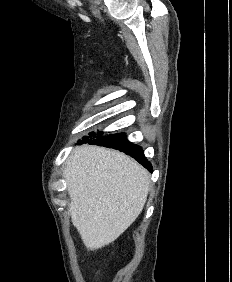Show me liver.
I'll return each mask as SVG.
<instances>
[{"label": "liver", "instance_id": "6515ba94", "mask_svg": "<svg viewBox=\"0 0 232 282\" xmlns=\"http://www.w3.org/2000/svg\"><path fill=\"white\" fill-rule=\"evenodd\" d=\"M69 212L88 250L114 242L140 215L149 173L129 156L83 145L69 156L63 173Z\"/></svg>", "mask_w": 232, "mask_h": 282}]
</instances>
